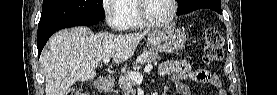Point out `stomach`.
Segmentation results:
<instances>
[{"label": "stomach", "mask_w": 277, "mask_h": 95, "mask_svg": "<svg viewBox=\"0 0 277 95\" xmlns=\"http://www.w3.org/2000/svg\"><path fill=\"white\" fill-rule=\"evenodd\" d=\"M185 41V32L175 27L155 30L148 36L151 49L163 53L176 52L184 45Z\"/></svg>", "instance_id": "0dacf381"}]
</instances>
